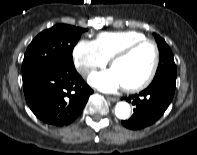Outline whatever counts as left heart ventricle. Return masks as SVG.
<instances>
[{"instance_id": "1", "label": "left heart ventricle", "mask_w": 197, "mask_h": 155, "mask_svg": "<svg viewBox=\"0 0 197 155\" xmlns=\"http://www.w3.org/2000/svg\"><path fill=\"white\" fill-rule=\"evenodd\" d=\"M153 60L154 49L150 44H146L116 61L112 69L119 76L123 86H132L145 79L152 67Z\"/></svg>"}]
</instances>
